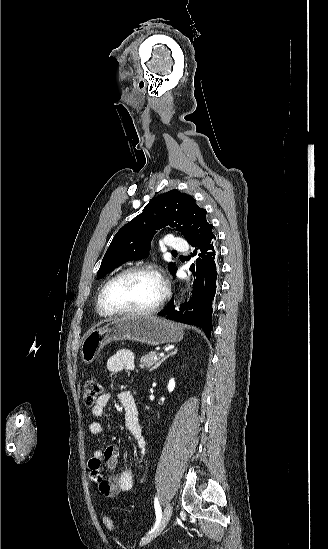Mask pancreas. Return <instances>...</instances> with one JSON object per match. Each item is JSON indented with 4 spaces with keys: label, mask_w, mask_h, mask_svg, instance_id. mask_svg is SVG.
Listing matches in <instances>:
<instances>
[{
    "label": "pancreas",
    "mask_w": 328,
    "mask_h": 549,
    "mask_svg": "<svg viewBox=\"0 0 328 549\" xmlns=\"http://www.w3.org/2000/svg\"><path fill=\"white\" fill-rule=\"evenodd\" d=\"M159 359L160 357H158V353H156V351H151L148 355L141 357L139 367L140 369H144V367H146V369H151V371H153V369H157L160 363H162L163 359H161V361H159ZM157 361H159V363H157Z\"/></svg>",
    "instance_id": "pancreas-1"
}]
</instances>
